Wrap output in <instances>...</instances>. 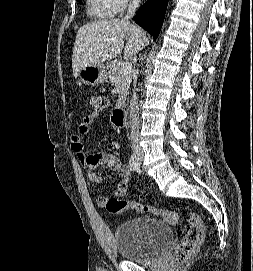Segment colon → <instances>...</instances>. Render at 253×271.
I'll use <instances>...</instances> for the list:
<instances>
[{
  "instance_id": "colon-1",
  "label": "colon",
  "mask_w": 253,
  "mask_h": 271,
  "mask_svg": "<svg viewBox=\"0 0 253 271\" xmlns=\"http://www.w3.org/2000/svg\"><path fill=\"white\" fill-rule=\"evenodd\" d=\"M90 99L94 112L99 113L107 106V99L103 95L94 93ZM103 207H105L109 213L115 215L122 214L129 209L140 213L152 214L160 217L163 221L171 225H176L185 219L188 222V226L174 252V258L179 262L189 260L205 237L203 220L201 216L195 212H172L118 198L108 199Z\"/></svg>"
}]
</instances>
